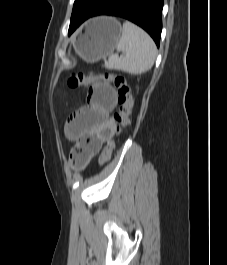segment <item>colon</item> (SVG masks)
I'll use <instances>...</instances> for the list:
<instances>
[{
	"instance_id": "obj_1",
	"label": "colon",
	"mask_w": 227,
	"mask_h": 265,
	"mask_svg": "<svg viewBox=\"0 0 227 265\" xmlns=\"http://www.w3.org/2000/svg\"><path fill=\"white\" fill-rule=\"evenodd\" d=\"M101 82L111 83L114 85L117 91V101L119 104L118 111L113 115V120L116 125L115 137L107 142L99 156V164L102 166L110 160L115 148L116 138L123 133L129 122V117L133 107L129 82L123 75L110 73L103 75L72 73L67 80L68 87L73 90L93 86ZM70 161L72 166L76 168L83 167L86 164V156L78 148L74 147L70 154Z\"/></svg>"
}]
</instances>
